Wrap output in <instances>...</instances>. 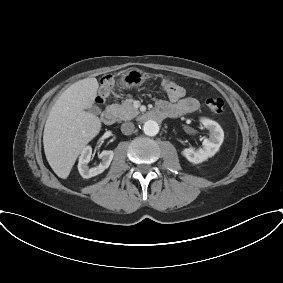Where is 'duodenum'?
Masks as SVG:
<instances>
[{"label": "duodenum", "mask_w": 283, "mask_h": 283, "mask_svg": "<svg viewBox=\"0 0 283 283\" xmlns=\"http://www.w3.org/2000/svg\"><path fill=\"white\" fill-rule=\"evenodd\" d=\"M173 116V112L170 110H163V111H158V110H153V111H149L144 113L141 116V120L142 121H162L165 118H169ZM101 121L104 124H111L114 122L115 118H116V114L115 111L111 108L106 109L105 111L102 112L101 116Z\"/></svg>", "instance_id": "410a0bca"}]
</instances>
